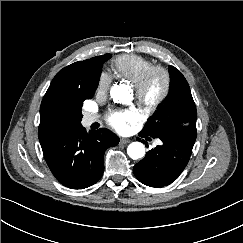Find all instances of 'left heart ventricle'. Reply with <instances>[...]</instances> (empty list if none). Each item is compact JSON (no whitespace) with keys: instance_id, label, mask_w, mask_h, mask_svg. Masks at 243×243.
Returning <instances> with one entry per match:
<instances>
[{"instance_id":"obj_1","label":"left heart ventricle","mask_w":243,"mask_h":243,"mask_svg":"<svg viewBox=\"0 0 243 243\" xmlns=\"http://www.w3.org/2000/svg\"><path fill=\"white\" fill-rule=\"evenodd\" d=\"M162 85H163L162 76L160 74L155 75L152 78V81H151V84H150L149 95L151 97L156 96L160 92Z\"/></svg>"}]
</instances>
